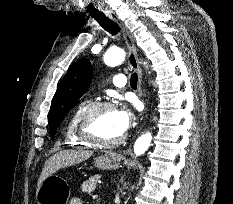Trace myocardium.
<instances>
[{
	"label": "myocardium",
	"mask_w": 233,
	"mask_h": 204,
	"mask_svg": "<svg viewBox=\"0 0 233 204\" xmlns=\"http://www.w3.org/2000/svg\"><path fill=\"white\" fill-rule=\"evenodd\" d=\"M106 109H114V105L111 102H94L86 106V108L81 113L78 123H77V134L78 136L93 146L101 147H113L119 145L125 139L122 135L119 138L113 140H102L97 138L91 131V127L95 117Z\"/></svg>",
	"instance_id": "obj_1"
}]
</instances>
